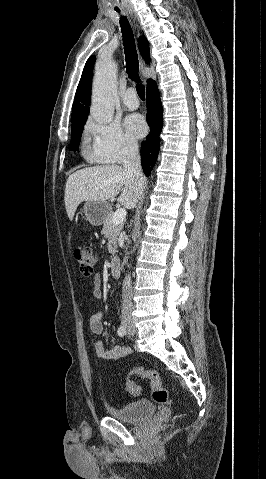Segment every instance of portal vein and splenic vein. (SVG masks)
Wrapping results in <instances>:
<instances>
[{
    "label": "portal vein and splenic vein",
    "instance_id": "1",
    "mask_svg": "<svg viewBox=\"0 0 266 479\" xmlns=\"http://www.w3.org/2000/svg\"><path fill=\"white\" fill-rule=\"evenodd\" d=\"M126 214L127 212L124 208L117 209L112 218L113 223H122L124 221V218L126 217Z\"/></svg>",
    "mask_w": 266,
    "mask_h": 479
}]
</instances>
